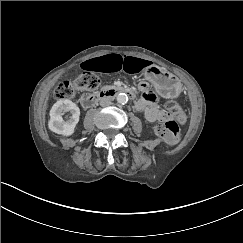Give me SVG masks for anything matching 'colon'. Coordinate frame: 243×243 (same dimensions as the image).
Segmentation results:
<instances>
[{
  "label": "colon",
  "instance_id": "1",
  "mask_svg": "<svg viewBox=\"0 0 243 243\" xmlns=\"http://www.w3.org/2000/svg\"><path fill=\"white\" fill-rule=\"evenodd\" d=\"M100 78L92 73H83L74 81H64L60 83L54 92L58 100L70 99L76 96L78 91H93L100 85ZM166 108L172 119L158 124L154 131L164 142L169 145L176 144L180 139L179 125L186 122V114L181 106L175 101H167Z\"/></svg>",
  "mask_w": 243,
  "mask_h": 243
}]
</instances>
